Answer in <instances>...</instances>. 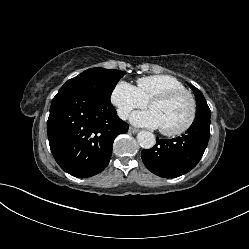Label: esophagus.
<instances>
[{
    "mask_svg": "<svg viewBox=\"0 0 249 249\" xmlns=\"http://www.w3.org/2000/svg\"><path fill=\"white\" fill-rule=\"evenodd\" d=\"M128 131L131 132V133H137L138 129L133 128V127H129Z\"/></svg>",
    "mask_w": 249,
    "mask_h": 249,
    "instance_id": "34e87169",
    "label": "esophagus"
}]
</instances>
